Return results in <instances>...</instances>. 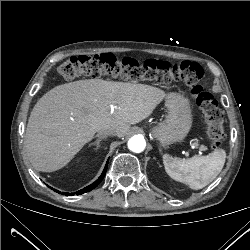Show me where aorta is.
<instances>
[{"label":"aorta","mask_w":250,"mask_h":250,"mask_svg":"<svg viewBox=\"0 0 250 250\" xmlns=\"http://www.w3.org/2000/svg\"><path fill=\"white\" fill-rule=\"evenodd\" d=\"M146 147V142L143 136L141 135H135L131 137L128 141V148L135 152L140 153L142 152Z\"/></svg>","instance_id":"762f6f07"}]
</instances>
